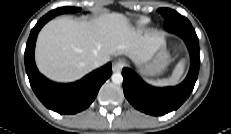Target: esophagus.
<instances>
[{"label":"esophagus","instance_id":"34e87169","mask_svg":"<svg viewBox=\"0 0 231 134\" xmlns=\"http://www.w3.org/2000/svg\"><path fill=\"white\" fill-rule=\"evenodd\" d=\"M125 65H126V61L124 59H119L115 61L113 65V71L114 72L121 71Z\"/></svg>","mask_w":231,"mask_h":134}]
</instances>
